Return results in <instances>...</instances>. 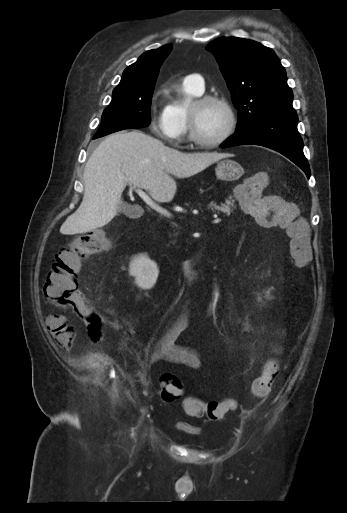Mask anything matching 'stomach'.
<instances>
[{"label":"stomach","instance_id":"stomach-1","mask_svg":"<svg viewBox=\"0 0 347 513\" xmlns=\"http://www.w3.org/2000/svg\"><path fill=\"white\" fill-rule=\"evenodd\" d=\"M215 174L219 180L235 181L244 174V169L237 161L225 158L218 162L215 168Z\"/></svg>","mask_w":347,"mask_h":513}]
</instances>
